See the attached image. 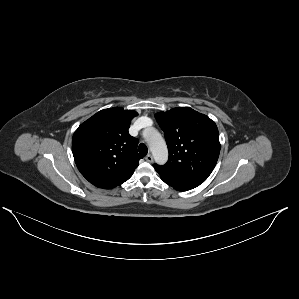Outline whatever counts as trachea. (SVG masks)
Here are the masks:
<instances>
[{"label":"trachea","mask_w":299,"mask_h":299,"mask_svg":"<svg viewBox=\"0 0 299 299\" xmlns=\"http://www.w3.org/2000/svg\"><path fill=\"white\" fill-rule=\"evenodd\" d=\"M138 150H139V153L142 155V156H145L147 153H148V148L147 146L144 144V143H141L138 147Z\"/></svg>","instance_id":"3493384b"}]
</instances>
